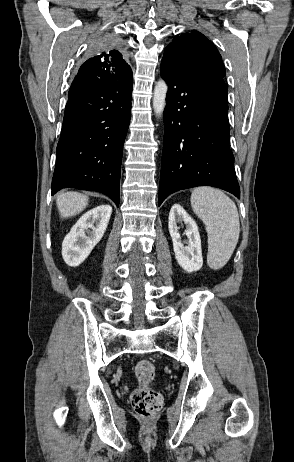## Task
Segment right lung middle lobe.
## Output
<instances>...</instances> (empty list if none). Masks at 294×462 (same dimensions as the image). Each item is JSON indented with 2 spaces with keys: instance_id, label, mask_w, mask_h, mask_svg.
<instances>
[{
  "instance_id": "right-lung-middle-lobe-1",
  "label": "right lung middle lobe",
  "mask_w": 294,
  "mask_h": 462,
  "mask_svg": "<svg viewBox=\"0 0 294 462\" xmlns=\"http://www.w3.org/2000/svg\"><path fill=\"white\" fill-rule=\"evenodd\" d=\"M122 45V41L120 38L112 33H106L99 38H97L91 45L89 53L91 55H94L95 53L114 48V47H120Z\"/></svg>"
}]
</instances>
